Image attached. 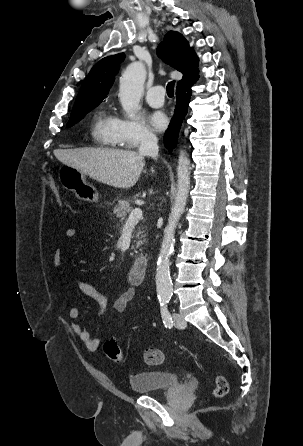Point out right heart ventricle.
<instances>
[{
	"label": "right heart ventricle",
	"instance_id": "obj_1",
	"mask_svg": "<svg viewBox=\"0 0 303 446\" xmlns=\"http://www.w3.org/2000/svg\"><path fill=\"white\" fill-rule=\"evenodd\" d=\"M116 123L117 118L109 111H100L95 116L91 128V136L94 143L103 147H115L119 145L116 136Z\"/></svg>",
	"mask_w": 303,
	"mask_h": 446
}]
</instances>
